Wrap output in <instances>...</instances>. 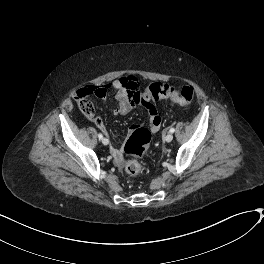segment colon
Wrapping results in <instances>:
<instances>
[{"mask_svg":"<svg viewBox=\"0 0 264 264\" xmlns=\"http://www.w3.org/2000/svg\"><path fill=\"white\" fill-rule=\"evenodd\" d=\"M94 92V88H83L75 95V100L80 111L88 117H92L94 114V106L89 100V97ZM194 94V89L190 85L175 87L169 84L155 83L135 92L132 99L140 105H151L160 99H168L178 103H189L193 100ZM94 121L97 122L98 120L95 119ZM150 138V133L145 128L138 125L135 126L124 148L125 152L130 156L125 167V172L128 176L136 177L140 174L142 169L140 158L144 148L150 142Z\"/></svg>","mask_w":264,"mask_h":264,"instance_id":"colon-1","label":"colon"}]
</instances>
